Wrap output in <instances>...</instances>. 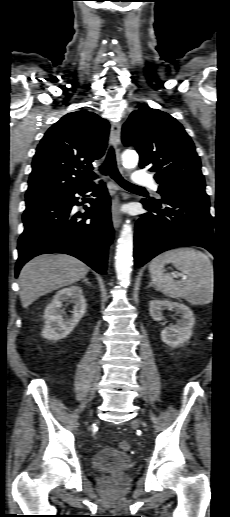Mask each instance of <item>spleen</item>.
<instances>
[{
    "label": "spleen",
    "instance_id": "spleen-1",
    "mask_svg": "<svg viewBox=\"0 0 230 517\" xmlns=\"http://www.w3.org/2000/svg\"><path fill=\"white\" fill-rule=\"evenodd\" d=\"M172 263L186 274V279L176 281L163 268ZM153 284L170 298H183L193 305L212 302L214 289L213 265L207 255L192 248H177L154 258L149 265Z\"/></svg>",
    "mask_w": 230,
    "mask_h": 517
}]
</instances>
